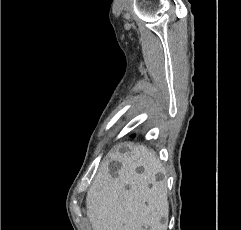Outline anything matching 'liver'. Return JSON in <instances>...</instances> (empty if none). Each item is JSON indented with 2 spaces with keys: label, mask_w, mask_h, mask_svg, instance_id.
Segmentation results:
<instances>
[{
  "label": "liver",
  "mask_w": 241,
  "mask_h": 230,
  "mask_svg": "<svg viewBox=\"0 0 241 230\" xmlns=\"http://www.w3.org/2000/svg\"><path fill=\"white\" fill-rule=\"evenodd\" d=\"M130 150L109 153L111 160L121 163V169L116 176L106 170L88 191L87 217L93 230H167L166 184L156 180L163 166L145 147ZM138 167L144 168L143 173H137Z\"/></svg>",
  "instance_id": "obj_1"
}]
</instances>
